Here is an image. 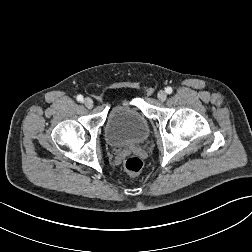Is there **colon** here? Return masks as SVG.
Instances as JSON below:
<instances>
[{
  "mask_svg": "<svg viewBox=\"0 0 252 252\" xmlns=\"http://www.w3.org/2000/svg\"><path fill=\"white\" fill-rule=\"evenodd\" d=\"M123 167L130 175L140 173L143 168V161L137 156H129L124 160Z\"/></svg>",
  "mask_w": 252,
  "mask_h": 252,
  "instance_id": "5ec220e1",
  "label": "colon"
}]
</instances>
